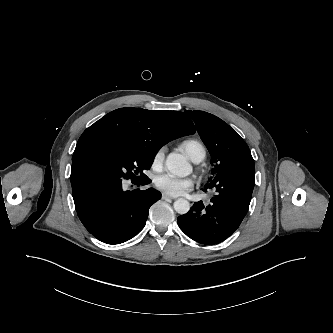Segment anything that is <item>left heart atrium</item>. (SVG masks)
<instances>
[{"label":"left heart atrium","mask_w":333,"mask_h":333,"mask_svg":"<svg viewBox=\"0 0 333 333\" xmlns=\"http://www.w3.org/2000/svg\"><path fill=\"white\" fill-rule=\"evenodd\" d=\"M155 187L163 193L176 197L185 194L193 188L194 182L190 177H176L165 173L154 178Z\"/></svg>","instance_id":"obj_1"}]
</instances>
